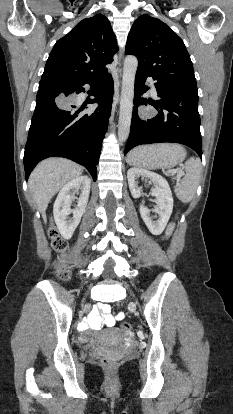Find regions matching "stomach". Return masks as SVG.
Wrapping results in <instances>:
<instances>
[{"instance_id": "obj_1", "label": "stomach", "mask_w": 233, "mask_h": 414, "mask_svg": "<svg viewBox=\"0 0 233 414\" xmlns=\"http://www.w3.org/2000/svg\"><path fill=\"white\" fill-rule=\"evenodd\" d=\"M186 156L185 149L177 144H155L141 146L128 155L129 164L148 169H169L179 164Z\"/></svg>"}]
</instances>
